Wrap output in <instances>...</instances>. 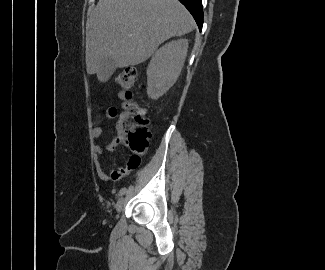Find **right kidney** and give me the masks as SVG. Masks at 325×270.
I'll return each mask as SVG.
<instances>
[{"label":"right kidney","instance_id":"right-kidney-1","mask_svg":"<svg viewBox=\"0 0 325 270\" xmlns=\"http://www.w3.org/2000/svg\"><path fill=\"white\" fill-rule=\"evenodd\" d=\"M188 50V40L172 41L160 48L147 68V93L158 99L177 80Z\"/></svg>","mask_w":325,"mask_h":270}]
</instances>
